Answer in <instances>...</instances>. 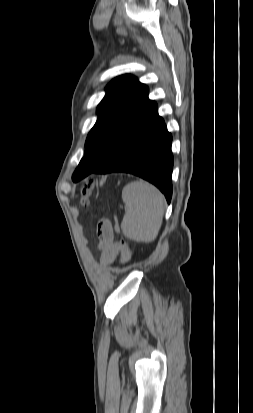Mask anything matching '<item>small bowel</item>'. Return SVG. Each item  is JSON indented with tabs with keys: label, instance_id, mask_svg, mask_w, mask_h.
<instances>
[{
	"label": "small bowel",
	"instance_id": "c3829d8e",
	"mask_svg": "<svg viewBox=\"0 0 253 413\" xmlns=\"http://www.w3.org/2000/svg\"><path fill=\"white\" fill-rule=\"evenodd\" d=\"M100 250V262L103 265L112 264L118 256L122 262H126L131 257L130 249L113 239V230L108 220H102L97 230Z\"/></svg>",
	"mask_w": 253,
	"mask_h": 413
}]
</instances>
